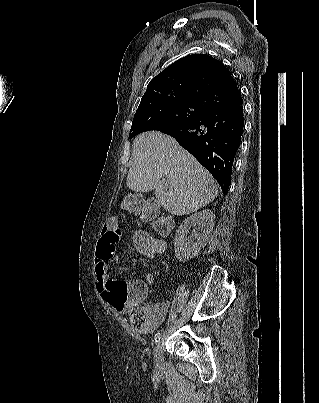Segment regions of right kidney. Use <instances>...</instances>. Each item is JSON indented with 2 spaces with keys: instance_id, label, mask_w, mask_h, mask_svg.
<instances>
[{
  "instance_id": "1",
  "label": "right kidney",
  "mask_w": 319,
  "mask_h": 403,
  "mask_svg": "<svg viewBox=\"0 0 319 403\" xmlns=\"http://www.w3.org/2000/svg\"><path fill=\"white\" fill-rule=\"evenodd\" d=\"M199 226V233L195 232L187 237L192 226ZM215 225V214L207 209L192 214L183 221L176 230L174 249L177 259L186 262L198 255L204 248L212 234Z\"/></svg>"
}]
</instances>
